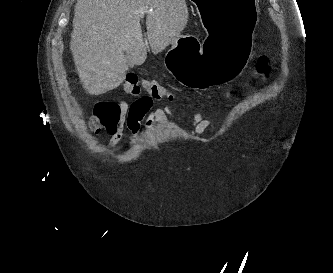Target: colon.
<instances>
[{
  "instance_id": "1",
  "label": "colon",
  "mask_w": 333,
  "mask_h": 273,
  "mask_svg": "<svg viewBox=\"0 0 333 273\" xmlns=\"http://www.w3.org/2000/svg\"><path fill=\"white\" fill-rule=\"evenodd\" d=\"M257 72L260 75L268 76L270 72L269 61L266 57H260L256 63ZM141 89L147 92L148 96L153 100L166 99L174 100V95L166 87L156 80H143L140 82L135 73H129L123 84V90L130 95H137ZM120 119L119 105L114 102L100 101L95 107L89 121V127L94 133L103 130L113 132L116 130Z\"/></svg>"
}]
</instances>
